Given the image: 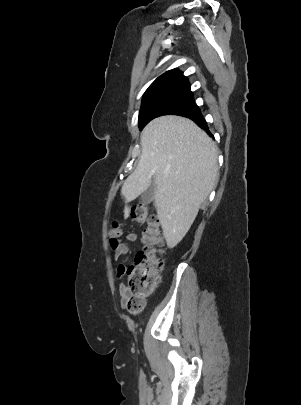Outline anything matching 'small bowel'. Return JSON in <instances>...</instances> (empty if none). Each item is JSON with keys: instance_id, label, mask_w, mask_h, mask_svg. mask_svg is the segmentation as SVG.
<instances>
[{"instance_id": "small-bowel-1", "label": "small bowel", "mask_w": 301, "mask_h": 405, "mask_svg": "<svg viewBox=\"0 0 301 405\" xmlns=\"http://www.w3.org/2000/svg\"><path fill=\"white\" fill-rule=\"evenodd\" d=\"M126 240L129 242H137L138 236L135 233H128L126 235ZM113 250L115 258L118 259L129 252V247L125 242L118 239L116 245L113 247ZM126 274H128V267L123 264L119 265L117 268V276L121 278L124 277ZM119 294L123 303L127 295L125 285H121L119 287Z\"/></svg>"}]
</instances>
